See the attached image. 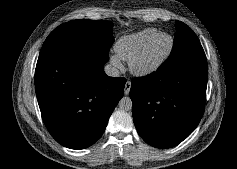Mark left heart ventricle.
I'll use <instances>...</instances> for the list:
<instances>
[{"mask_svg": "<svg viewBox=\"0 0 237 169\" xmlns=\"http://www.w3.org/2000/svg\"><path fill=\"white\" fill-rule=\"evenodd\" d=\"M169 43L170 41L167 36L159 37L151 46V48L148 50L142 64L145 65L152 63L156 61L158 58H160L162 55H164V53L167 51L169 47Z\"/></svg>", "mask_w": 237, "mask_h": 169, "instance_id": "b2bd125f", "label": "left heart ventricle"}]
</instances>
